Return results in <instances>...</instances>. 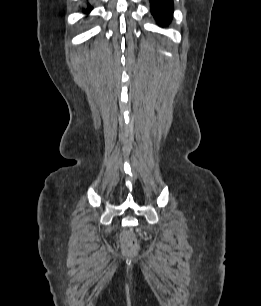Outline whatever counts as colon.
Returning a JSON list of instances; mask_svg holds the SVG:
<instances>
[{
    "label": "colon",
    "instance_id": "colon-1",
    "mask_svg": "<svg viewBox=\"0 0 261 306\" xmlns=\"http://www.w3.org/2000/svg\"><path fill=\"white\" fill-rule=\"evenodd\" d=\"M121 247L125 253H133L137 250L138 243L132 233L126 231L121 234Z\"/></svg>",
    "mask_w": 261,
    "mask_h": 306
}]
</instances>
